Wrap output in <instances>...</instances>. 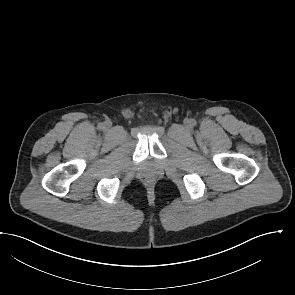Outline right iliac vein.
Masks as SVG:
<instances>
[{
  "mask_svg": "<svg viewBox=\"0 0 295 295\" xmlns=\"http://www.w3.org/2000/svg\"><path fill=\"white\" fill-rule=\"evenodd\" d=\"M104 125H105V127H106V128H110V127H111V123H110V122H108V121H107V122H105V124H104Z\"/></svg>",
  "mask_w": 295,
  "mask_h": 295,
  "instance_id": "obj_1",
  "label": "right iliac vein"
}]
</instances>
